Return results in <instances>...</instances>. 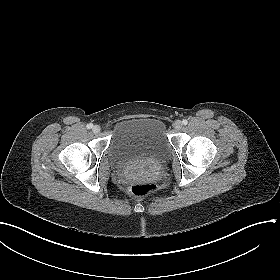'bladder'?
Returning <instances> with one entry per match:
<instances>
[{"label": "bladder", "instance_id": "31cf9c89", "mask_svg": "<svg viewBox=\"0 0 280 280\" xmlns=\"http://www.w3.org/2000/svg\"><path fill=\"white\" fill-rule=\"evenodd\" d=\"M166 127L157 118L119 121L112 133L109 156L116 163L139 159L162 160L169 152Z\"/></svg>", "mask_w": 280, "mask_h": 280}]
</instances>
